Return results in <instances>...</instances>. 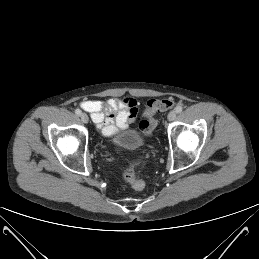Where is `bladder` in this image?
Returning <instances> with one entry per match:
<instances>
[{
  "instance_id": "obj_1",
  "label": "bladder",
  "mask_w": 259,
  "mask_h": 259,
  "mask_svg": "<svg viewBox=\"0 0 259 259\" xmlns=\"http://www.w3.org/2000/svg\"><path fill=\"white\" fill-rule=\"evenodd\" d=\"M113 142L122 148L135 150L143 145V139L140 134L133 128H124L117 132L113 138Z\"/></svg>"
}]
</instances>
